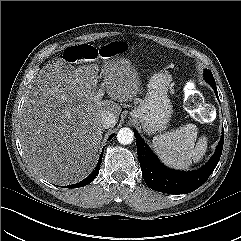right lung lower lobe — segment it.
I'll return each mask as SVG.
<instances>
[{"mask_svg": "<svg viewBox=\"0 0 241 241\" xmlns=\"http://www.w3.org/2000/svg\"><path fill=\"white\" fill-rule=\"evenodd\" d=\"M112 136H113V135H111V136L109 137V139H111ZM102 152H103V151H102ZM102 156H103V153H101V156H100V158H99V161H98V164H97L95 170H94L87 178H85L84 180H82L81 182H79V183H77V184L69 185V186H67V187H69V188H79V187L86 186V185H88L90 182H92V181L96 178L97 174L99 173L100 165H101V162H102Z\"/></svg>", "mask_w": 241, "mask_h": 241, "instance_id": "obj_1", "label": "right lung lower lobe"}]
</instances>
